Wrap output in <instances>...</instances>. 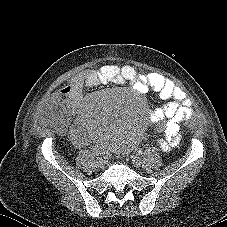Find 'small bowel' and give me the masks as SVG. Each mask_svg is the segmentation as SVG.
Segmentation results:
<instances>
[{"instance_id": "c3829d8e", "label": "small bowel", "mask_w": 227, "mask_h": 227, "mask_svg": "<svg viewBox=\"0 0 227 227\" xmlns=\"http://www.w3.org/2000/svg\"><path fill=\"white\" fill-rule=\"evenodd\" d=\"M104 82L130 83L141 95H145L150 89L157 92L165 103L154 109L149 118L152 123L158 125L159 130L164 132V137L158 140V145L162 151L167 152L179 144L181 136L177 127L192 115L191 101L181 87L159 73L140 74L132 66L116 65L89 69L74 75L68 84L50 98L49 104L52 107L54 104L61 103L69 110L84 107L85 89ZM59 128L68 132L76 145L81 146L86 143L80 125L71 126L69 121L61 120Z\"/></svg>"}]
</instances>
